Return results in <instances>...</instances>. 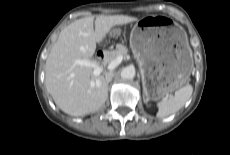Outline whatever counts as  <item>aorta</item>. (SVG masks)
<instances>
[{
	"instance_id": "762f6f07",
	"label": "aorta",
	"mask_w": 230,
	"mask_h": 155,
	"mask_svg": "<svg viewBox=\"0 0 230 155\" xmlns=\"http://www.w3.org/2000/svg\"><path fill=\"white\" fill-rule=\"evenodd\" d=\"M135 68L132 66H128L122 69L121 71V78L122 79H126V80H130L133 79L135 77Z\"/></svg>"
}]
</instances>
